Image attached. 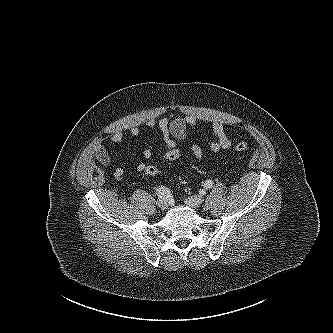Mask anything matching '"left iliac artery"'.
Instances as JSON below:
<instances>
[{
	"label": "left iliac artery",
	"mask_w": 333,
	"mask_h": 333,
	"mask_svg": "<svg viewBox=\"0 0 333 333\" xmlns=\"http://www.w3.org/2000/svg\"><path fill=\"white\" fill-rule=\"evenodd\" d=\"M213 185H214V182L212 180H207L204 183L205 189H211L213 187Z\"/></svg>",
	"instance_id": "left-iliac-artery-1"
}]
</instances>
